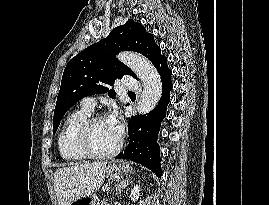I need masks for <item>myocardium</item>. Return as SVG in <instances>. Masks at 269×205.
I'll use <instances>...</instances> for the list:
<instances>
[{
  "instance_id": "myocardium-1",
  "label": "myocardium",
  "mask_w": 269,
  "mask_h": 205,
  "mask_svg": "<svg viewBox=\"0 0 269 205\" xmlns=\"http://www.w3.org/2000/svg\"><path fill=\"white\" fill-rule=\"evenodd\" d=\"M104 117L102 115H94L90 116L79 128L77 137H76V142L77 146L80 150V152L87 158L90 159H108L112 158L115 155L119 153V151L122 148L123 141L122 138L119 137L118 142L116 146L104 153H99L93 150L91 144H90V132L92 127L99 122L100 120H103Z\"/></svg>"
}]
</instances>
